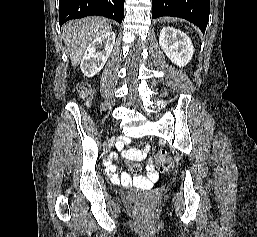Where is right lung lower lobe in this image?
<instances>
[{
	"label": "right lung lower lobe",
	"mask_w": 257,
	"mask_h": 237,
	"mask_svg": "<svg viewBox=\"0 0 257 237\" xmlns=\"http://www.w3.org/2000/svg\"><path fill=\"white\" fill-rule=\"evenodd\" d=\"M125 0H59L60 26L70 19L91 15L111 18L121 23Z\"/></svg>",
	"instance_id": "right-lung-lower-lobe-1"
}]
</instances>
